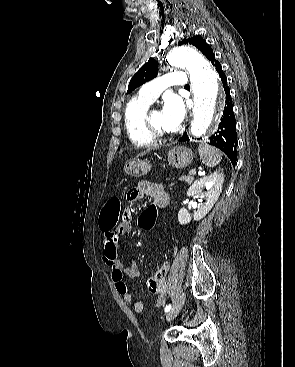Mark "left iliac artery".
Returning <instances> with one entry per match:
<instances>
[{
  "label": "left iliac artery",
  "instance_id": "obj_1",
  "mask_svg": "<svg viewBox=\"0 0 295 367\" xmlns=\"http://www.w3.org/2000/svg\"><path fill=\"white\" fill-rule=\"evenodd\" d=\"M171 309V304H168L166 307H165V312H169Z\"/></svg>",
  "mask_w": 295,
  "mask_h": 367
}]
</instances>
